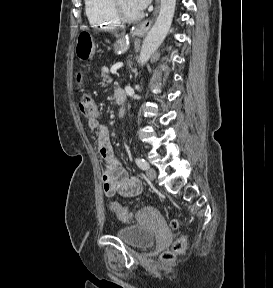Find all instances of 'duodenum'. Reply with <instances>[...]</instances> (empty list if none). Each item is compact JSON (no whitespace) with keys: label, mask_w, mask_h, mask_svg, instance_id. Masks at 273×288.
Segmentation results:
<instances>
[{"label":"duodenum","mask_w":273,"mask_h":288,"mask_svg":"<svg viewBox=\"0 0 273 288\" xmlns=\"http://www.w3.org/2000/svg\"><path fill=\"white\" fill-rule=\"evenodd\" d=\"M115 99L117 101L118 104L120 105H124L125 101H126V94L125 92L121 91V90H116L115 91Z\"/></svg>","instance_id":"obj_1"}]
</instances>
